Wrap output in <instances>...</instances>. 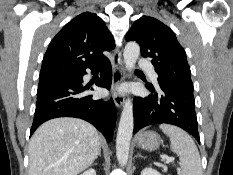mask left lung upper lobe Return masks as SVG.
<instances>
[{"label":"left lung upper lobe","instance_id":"5c2ea615","mask_svg":"<svg viewBox=\"0 0 233 175\" xmlns=\"http://www.w3.org/2000/svg\"><path fill=\"white\" fill-rule=\"evenodd\" d=\"M126 40L136 41L142 56L152 59L159 84L193 88L186 53L174 32L165 24L155 18L142 16L134 22L126 34Z\"/></svg>","mask_w":233,"mask_h":175}]
</instances>
